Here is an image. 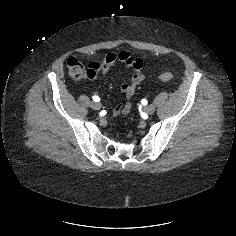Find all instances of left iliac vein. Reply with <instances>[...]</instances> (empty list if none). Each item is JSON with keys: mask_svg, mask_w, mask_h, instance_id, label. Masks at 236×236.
<instances>
[{"mask_svg": "<svg viewBox=\"0 0 236 236\" xmlns=\"http://www.w3.org/2000/svg\"><path fill=\"white\" fill-rule=\"evenodd\" d=\"M145 112L149 115L153 114L155 112V107L153 105H147L145 107Z\"/></svg>", "mask_w": 236, "mask_h": 236, "instance_id": "left-iliac-vein-1", "label": "left iliac vein"}]
</instances>
